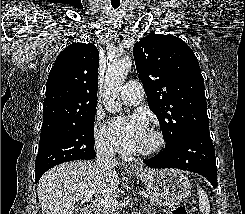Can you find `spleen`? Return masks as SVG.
<instances>
[{"instance_id":"obj_1","label":"spleen","mask_w":245,"mask_h":214,"mask_svg":"<svg viewBox=\"0 0 245 214\" xmlns=\"http://www.w3.org/2000/svg\"><path fill=\"white\" fill-rule=\"evenodd\" d=\"M199 195V209L203 214H210V202L207 194L200 187L197 188Z\"/></svg>"}]
</instances>
